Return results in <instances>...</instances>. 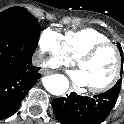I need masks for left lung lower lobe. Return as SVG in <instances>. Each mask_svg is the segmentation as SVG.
Returning <instances> with one entry per match:
<instances>
[{
  "label": "left lung lower lobe",
  "instance_id": "left-lung-lower-lobe-1",
  "mask_svg": "<svg viewBox=\"0 0 124 124\" xmlns=\"http://www.w3.org/2000/svg\"><path fill=\"white\" fill-rule=\"evenodd\" d=\"M119 92L118 86L93 97L71 92L66 97L53 100L54 115L62 124H100L115 106Z\"/></svg>",
  "mask_w": 124,
  "mask_h": 124
}]
</instances>
